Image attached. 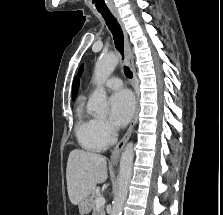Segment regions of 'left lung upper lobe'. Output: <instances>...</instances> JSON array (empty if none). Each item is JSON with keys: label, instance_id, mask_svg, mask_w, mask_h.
I'll use <instances>...</instances> for the list:
<instances>
[{"label": "left lung upper lobe", "instance_id": "obj_1", "mask_svg": "<svg viewBox=\"0 0 223 215\" xmlns=\"http://www.w3.org/2000/svg\"><path fill=\"white\" fill-rule=\"evenodd\" d=\"M82 70H83V67L81 66V67H80V72H81Z\"/></svg>", "mask_w": 223, "mask_h": 215}]
</instances>
